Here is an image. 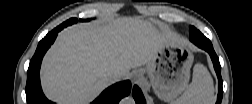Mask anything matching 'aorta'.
I'll use <instances>...</instances> for the list:
<instances>
[{
	"mask_svg": "<svg viewBox=\"0 0 252 104\" xmlns=\"http://www.w3.org/2000/svg\"><path fill=\"white\" fill-rule=\"evenodd\" d=\"M123 103L131 104V103H133V99L131 97H127L124 99Z\"/></svg>",
	"mask_w": 252,
	"mask_h": 104,
	"instance_id": "762f6f07",
	"label": "aorta"
}]
</instances>
